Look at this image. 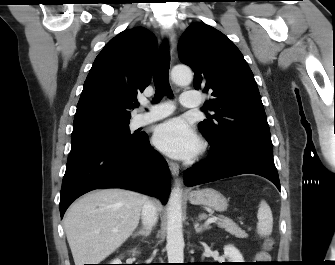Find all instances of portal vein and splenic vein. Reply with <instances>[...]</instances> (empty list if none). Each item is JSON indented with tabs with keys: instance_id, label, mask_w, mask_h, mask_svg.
I'll return each instance as SVG.
<instances>
[{
	"instance_id": "1",
	"label": "portal vein and splenic vein",
	"mask_w": 335,
	"mask_h": 265,
	"mask_svg": "<svg viewBox=\"0 0 335 265\" xmlns=\"http://www.w3.org/2000/svg\"><path fill=\"white\" fill-rule=\"evenodd\" d=\"M218 220L216 217H211L206 220V224L214 223Z\"/></svg>"
}]
</instances>
